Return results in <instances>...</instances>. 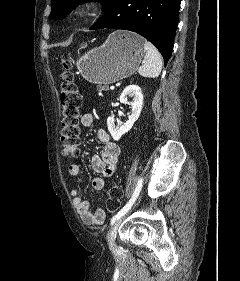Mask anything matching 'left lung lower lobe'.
Returning <instances> with one entry per match:
<instances>
[{
    "label": "left lung lower lobe",
    "mask_w": 240,
    "mask_h": 281,
    "mask_svg": "<svg viewBox=\"0 0 240 281\" xmlns=\"http://www.w3.org/2000/svg\"><path fill=\"white\" fill-rule=\"evenodd\" d=\"M181 0H113L90 30L134 31L149 40L165 64L172 55Z\"/></svg>",
    "instance_id": "1"
}]
</instances>
